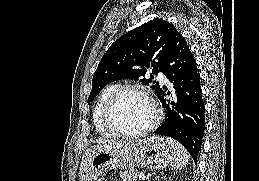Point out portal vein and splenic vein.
Masks as SVG:
<instances>
[{
	"mask_svg": "<svg viewBox=\"0 0 259 181\" xmlns=\"http://www.w3.org/2000/svg\"><path fill=\"white\" fill-rule=\"evenodd\" d=\"M139 180H145V175L143 173L139 175Z\"/></svg>",
	"mask_w": 259,
	"mask_h": 181,
	"instance_id": "18ae733b",
	"label": "portal vein and splenic vein"
}]
</instances>
